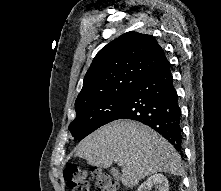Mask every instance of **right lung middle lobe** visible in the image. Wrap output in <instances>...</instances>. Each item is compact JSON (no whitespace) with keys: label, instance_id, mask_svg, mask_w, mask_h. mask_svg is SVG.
<instances>
[{"label":"right lung middle lobe","instance_id":"dd1d6c3e","mask_svg":"<svg viewBox=\"0 0 221 191\" xmlns=\"http://www.w3.org/2000/svg\"><path fill=\"white\" fill-rule=\"evenodd\" d=\"M130 92H123L77 110L76 118L69 125V130L75 139L81 140L99 127L114 121Z\"/></svg>","mask_w":221,"mask_h":191}]
</instances>
